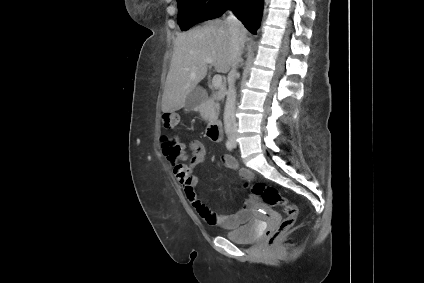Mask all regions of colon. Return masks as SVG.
Segmentation results:
<instances>
[{
    "label": "colon",
    "mask_w": 424,
    "mask_h": 283,
    "mask_svg": "<svg viewBox=\"0 0 424 283\" xmlns=\"http://www.w3.org/2000/svg\"><path fill=\"white\" fill-rule=\"evenodd\" d=\"M161 121L164 128L173 129L179 122V115L176 113H163ZM161 141L162 152L169 161L175 163L183 157V145L176 138L163 136ZM245 186L249 187L253 195L263 199L266 204L280 206L283 209L285 215L283 220L277 227L268 229L265 233L267 243L270 246H274L280 236L294 225L298 216V208L275 187L264 182L246 183Z\"/></svg>",
    "instance_id": "colon-1"
}]
</instances>
